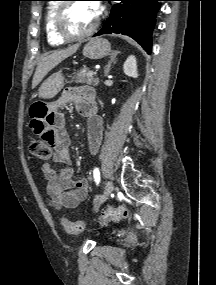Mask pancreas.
<instances>
[{"label": "pancreas", "instance_id": "cf45deb5", "mask_svg": "<svg viewBox=\"0 0 216 285\" xmlns=\"http://www.w3.org/2000/svg\"><path fill=\"white\" fill-rule=\"evenodd\" d=\"M88 68H84L81 71L77 72L68 83H80V84H89V85H98L99 79L95 76H88Z\"/></svg>", "mask_w": 216, "mask_h": 285}]
</instances>
